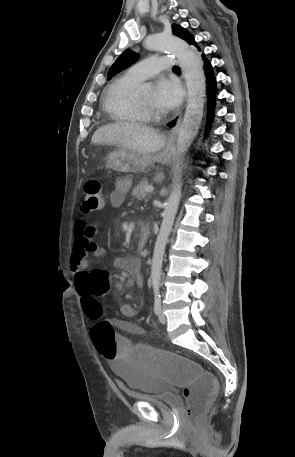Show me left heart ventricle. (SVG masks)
Segmentation results:
<instances>
[{
  "label": "left heart ventricle",
  "instance_id": "b2bd125f",
  "mask_svg": "<svg viewBox=\"0 0 295 457\" xmlns=\"http://www.w3.org/2000/svg\"><path fill=\"white\" fill-rule=\"evenodd\" d=\"M139 103H140L141 105H144V106L152 107L153 102H152V97H151V95L145 96L144 98H142L141 100H139Z\"/></svg>",
  "mask_w": 295,
  "mask_h": 457
}]
</instances>
